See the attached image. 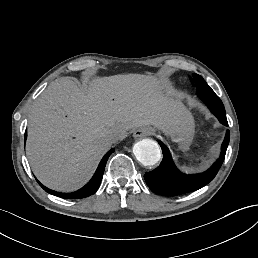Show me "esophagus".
<instances>
[{
    "mask_svg": "<svg viewBox=\"0 0 258 258\" xmlns=\"http://www.w3.org/2000/svg\"><path fill=\"white\" fill-rule=\"evenodd\" d=\"M152 131L151 130H148L147 128H138L133 136L135 138H139V137H145V136H148V135H151Z\"/></svg>",
    "mask_w": 258,
    "mask_h": 258,
    "instance_id": "obj_1",
    "label": "esophagus"
}]
</instances>
